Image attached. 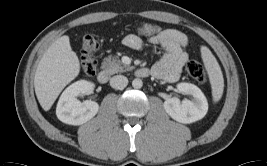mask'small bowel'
<instances>
[{
	"instance_id": "obj_1",
	"label": "small bowel",
	"mask_w": 267,
	"mask_h": 166,
	"mask_svg": "<svg viewBox=\"0 0 267 166\" xmlns=\"http://www.w3.org/2000/svg\"><path fill=\"white\" fill-rule=\"evenodd\" d=\"M148 41L166 51L164 56L150 68V73L165 82L177 81L189 57L186 51L187 36L176 29H164L156 35L149 36ZM123 44L128 48L141 50L144 43L139 35L129 34L124 37Z\"/></svg>"
}]
</instances>
